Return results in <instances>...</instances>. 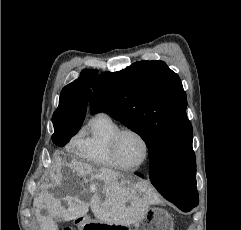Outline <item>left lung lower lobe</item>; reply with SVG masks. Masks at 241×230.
Returning <instances> with one entry per match:
<instances>
[{"instance_id": "left-lung-lower-lobe-1", "label": "left lung lower lobe", "mask_w": 241, "mask_h": 230, "mask_svg": "<svg viewBox=\"0 0 241 230\" xmlns=\"http://www.w3.org/2000/svg\"><path fill=\"white\" fill-rule=\"evenodd\" d=\"M167 163L165 162L164 159L161 158H152L150 159V172H149V178L152 182V184L157 188V190L168 200L173 202L175 205H177L182 211L188 212L192 208L198 205L199 200H198V192L194 196V198L189 199V200H179L176 198L169 197L165 192L164 188L165 185L167 184ZM136 175L140 177H144L140 173H135Z\"/></svg>"}]
</instances>
